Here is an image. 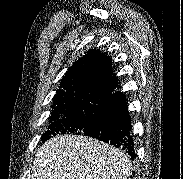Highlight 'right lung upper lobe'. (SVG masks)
<instances>
[{"instance_id": "cb5924a9", "label": "right lung upper lobe", "mask_w": 183, "mask_h": 179, "mask_svg": "<svg viewBox=\"0 0 183 179\" xmlns=\"http://www.w3.org/2000/svg\"><path fill=\"white\" fill-rule=\"evenodd\" d=\"M110 56L91 49L75 61L62 78L54 103L88 96H107L117 86Z\"/></svg>"}]
</instances>
